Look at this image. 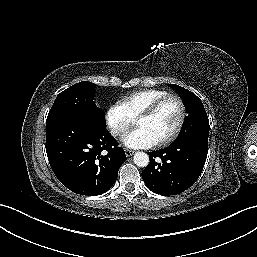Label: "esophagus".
<instances>
[{"instance_id": "esophagus-1", "label": "esophagus", "mask_w": 257, "mask_h": 257, "mask_svg": "<svg viewBox=\"0 0 257 257\" xmlns=\"http://www.w3.org/2000/svg\"><path fill=\"white\" fill-rule=\"evenodd\" d=\"M125 154H126L127 157H130L134 154V151L130 150V149H125Z\"/></svg>"}]
</instances>
